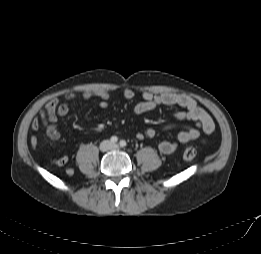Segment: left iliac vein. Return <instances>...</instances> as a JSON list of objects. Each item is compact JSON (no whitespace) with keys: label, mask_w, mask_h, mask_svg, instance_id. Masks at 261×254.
Masks as SVG:
<instances>
[{"label":"left iliac vein","mask_w":261,"mask_h":254,"mask_svg":"<svg viewBox=\"0 0 261 254\" xmlns=\"http://www.w3.org/2000/svg\"><path fill=\"white\" fill-rule=\"evenodd\" d=\"M118 148H119V146L117 144H112L111 145V149H118Z\"/></svg>","instance_id":"4c4485c4"}]
</instances>
